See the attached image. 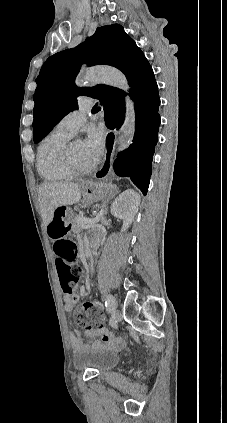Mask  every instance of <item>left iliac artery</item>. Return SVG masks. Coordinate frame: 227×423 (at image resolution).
Listing matches in <instances>:
<instances>
[{"instance_id":"left-iliac-artery-1","label":"left iliac artery","mask_w":227,"mask_h":423,"mask_svg":"<svg viewBox=\"0 0 227 423\" xmlns=\"http://www.w3.org/2000/svg\"><path fill=\"white\" fill-rule=\"evenodd\" d=\"M113 303H115V298L111 294H108L105 298V306H106V308H108L107 309L108 312H112L114 310L115 307L111 306V304H113ZM109 305H110V307H109Z\"/></svg>"}]
</instances>
